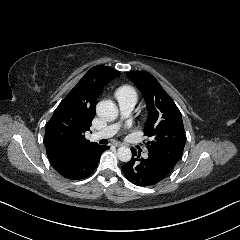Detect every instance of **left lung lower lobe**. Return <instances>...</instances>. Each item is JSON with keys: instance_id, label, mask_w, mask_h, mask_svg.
<instances>
[{"instance_id": "left-lung-lower-lobe-1", "label": "left lung lower lobe", "mask_w": 240, "mask_h": 240, "mask_svg": "<svg viewBox=\"0 0 240 240\" xmlns=\"http://www.w3.org/2000/svg\"><path fill=\"white\" fill-rule=\"evenodd\" d=\"M133 157L122 166L126 178L137 186H151L166 178L175 164L165 160L157 153L149 152L148 158H140L135 149Z\"/></svg>"}]
</instances>
